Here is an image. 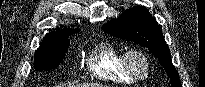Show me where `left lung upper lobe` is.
<instances>
[{"label": "left lung upper lobe", "instance_id": "left-lung-upper-lobe-1", "mask_svg": "<svg viewBox=\"0 0 205 87\" xmlns=\"http://www.w3.org/2000/svg\"><path fill=\"white\" fill-rule=\"evenodd\" d=\"M102 29L115 37L147 47L163 65L172 87H181L179 74L172 64L170 50L158 23L144 6L126 10L121 17L105 24Z\"/></svg>", "mask_w": 205, "mask_h": 87}]
</instances>
